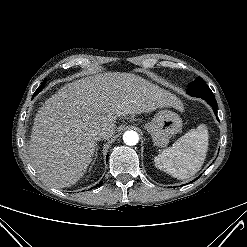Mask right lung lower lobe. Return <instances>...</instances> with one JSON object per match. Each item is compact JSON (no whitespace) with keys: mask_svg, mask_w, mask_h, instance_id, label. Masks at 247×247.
I'll list each match as a JSON object with an SVG mask.
<instances>
[{"mask_svg":"<svg viewBox=\"0 0 247 247\" xmlns=\"http://www.w3.org/2000/svg\"><path fill=\"white\" fill-rule=\"evenodd\" d=\"M37 93H39V92L36 90V92L34 93L33 97H34ZM101 184H102V181H101L97 186H101Z\"/></svg>","mask_w":247,"mask_h":247,"instance_id":"1","label":"right lung lower lobe"}]
</instances>
